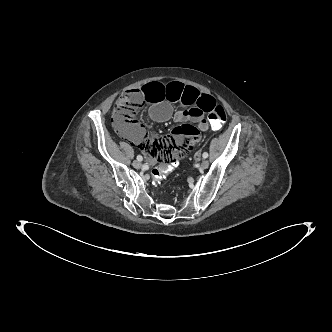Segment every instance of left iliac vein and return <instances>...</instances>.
Listing matches in <instances>:
<instances>
[{
	"label": "left iliac vein",
	"instance_id": "left-iliac-vein-1",
	"mask_svg": "<svg viewBox=\"0 0 332 332\" xmlns=\"http://www.w3.org/2000/svg\"><path fill=\"white\" fill-rule=\"evenodd\" d=\"M208 167H209V161L208 160H203L199 165L200 169H207Z\"/></svg>",
	"mask_w": 332,
	"mask_h": 332
}]
</instances>
